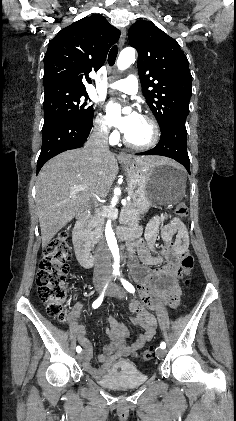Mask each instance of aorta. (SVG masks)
I'll list each match as a JSON object with an SVG mask.
<instances>
[{"label":"aorta","mask_w":236,"mask_h":421,"mask_svg":"<svg viewBox=\"0 0 236 421\" xmlns=\"http://www.w3.org/2000/svg\"><path fill=\"white\" fill-rule=\"evenodd\" d=\"M135 60V48H131V46H127V48H123L121 50L118 58H117V66L119 70H125V68H129L130 64ZM120 188H115L114 196L111 200V206H115L118 202V196ZM106 241L108 243V247L113 255L114 259V273H118L120 267V255L119 249L117 245V241L115 239V235L113 233V229L111 227V221H107L106 229H105Z\"/></svg>","instance_id":"1"}]
</instances>
